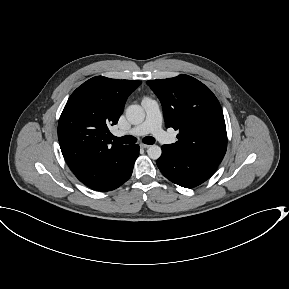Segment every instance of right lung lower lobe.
Segmentation results:
<instances>
[{
	"instance_id": "right-lung-lower-lobe-1",
	"label": "right lung lower lobe",
	"mask_w": 289,
	"mask_h": 289,
	"mask_svg": "<svg viewBox=\"0 0 289 289\" xmlns=\"http://www.w3.org/2000/svg\"><path fill=\"white\" fill-rule=\"evenodd\" d=\"M139 155L138 145H129L115 175L104 185L93 188L98 191H110L125 183L131 176L134 162Z\"/></svg>"
}]
</instances>
